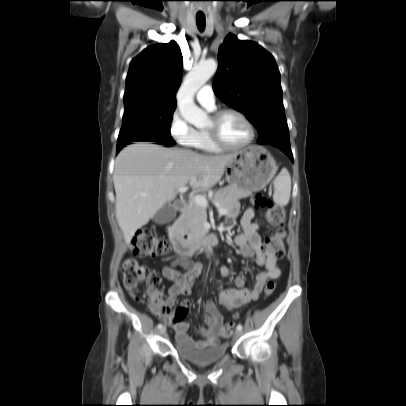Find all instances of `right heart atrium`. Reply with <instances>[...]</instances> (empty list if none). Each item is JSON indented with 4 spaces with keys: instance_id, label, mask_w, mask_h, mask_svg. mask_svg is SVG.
I'll return each mask as SVG.
<instances>
[{
    "instance_id": "1",
    "label": "right heart atrium",
    "mask_w": 406,
    "mask_h": 406,
    "mask_svg": "<svg viewBox=\"0 0 406 406\" xmlns=\"http://www.w3.org/2000/svg\"><path fill=\"white\" fill-rule=\"evenodd\" d=\"M169 128L171 136L183 146H193L199 135L178 110L173 112Z\"/></svg>"
}]
</instances>
